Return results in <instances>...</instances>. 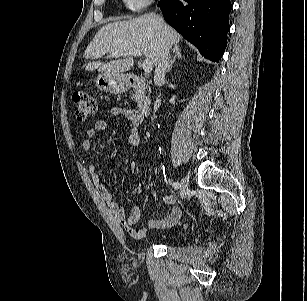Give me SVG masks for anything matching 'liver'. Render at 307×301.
<instances>
[{
    "mask_svg": "<svg viewBox=\"0 0 307 301\" xmlns=\"http://www.w3.org/2000/svg\"><path fill=\"white\" fill-rule=\"evenodd\" d=\"M180 34L167 25L161 17L148 13L130 20L116 21L103 26L85 50V70L119 74L129 71L134 65L133 55L110 62L94 61L105 54L140 50L154 65L158 63L161 45L164 41L177 45Z\"/></svg>",
    "mask_w": 307,
    "mask_h": 301,
    "instance_id": "6515ba94",
    "label": "liver"
}]
</instances>
